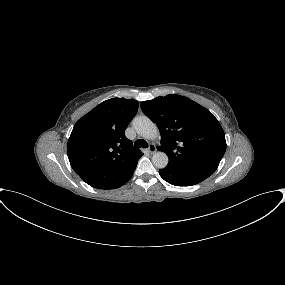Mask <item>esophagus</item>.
Listing matches in <instances>:
<instances>
[{
    "instance_id": "obj_1",
    "label": "esophagus",
    "mask_w": 285,
    "mask_h": 285,
    "mask_svg": "<svg viewBox=\"0 0 285 285\" xmlns=\"http://www.w3.org/2000/svg\"><path fill=\"white\" fill-rule=\"evenodd\" d=\"M147 151L151 154L156 152V146L154 144H150Z\"/></svg>"
}]
</instances>
